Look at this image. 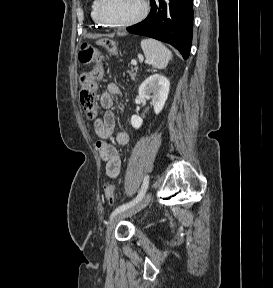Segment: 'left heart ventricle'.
Masks as SVG:
<instances>
[{"mask_svg": "<svg viewBox=\"0 0 273 288\" xmlns=\"http://www.w3.org/2000/svg\"><path fill=\"white\" fill-rule=\"evenodd\" d=\"M142 0H105L103 13L113 22H124L138 15L142 10Z\"/></svg>", "mask_w": 273, "mask_h": 288, "instance_id": "obj_1", "label": "left heart ventricle"}]
</instances>
